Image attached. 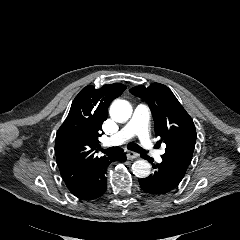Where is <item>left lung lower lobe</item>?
Listing matches in <instances>:
<instances>
[{"instance_id": "1", "label": "left lung lower lobe", "mask_w": 240, "mask_h": 240, "mask_svg": "<svg viewBox=\"0 0 240 240\" xmlns=\"http://www.w3.org/2000/svg\"><path fill=\"white\" fill-rule=\"evenodd\" d=\"M143 158L153 161L149 156ZM154 172L146 178L139 179L141 189L148 195H163L176 189L185 174L177 171L165 162L153 164Z\"/></svg>"}]
</instances>
